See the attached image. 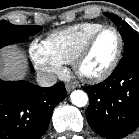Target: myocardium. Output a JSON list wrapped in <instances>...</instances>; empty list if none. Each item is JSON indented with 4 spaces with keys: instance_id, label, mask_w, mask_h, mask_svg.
<instances>
[{
    "instance_id": "1",
    "label": "myocardium",
    "mask_w": 139,
    "mask_h": 139,
    "mask_svg": "<svg viewBox=\"0 0 139 139\" xmlns=\"http://www.w3.org/2000/svg\"><path fill=\"white\" fill-rule=\"evenodd\" d=\"M107 30H112L116 34L117 39H118V46H117V50H116L114 58L111 61V63L108 65V67L106 69H104L102 72H100L98 74H94V75L85 74L81 70L82 62L84 61V59L90 52L94 42L99 37V35H101L104 31H107ZM123 47H124V41H123V37H122L120 31L112 25H103L101 28H99L98 30H96L94 33H92L89 36V38L85 41V43L82 45V47L76 54V56L72 62L73 69H74L76 75L80 79H82L86 82H89V83H98V82L104 81L117 68V66L121 60V57H122Z\"/></svg>"
}]
</instances>
